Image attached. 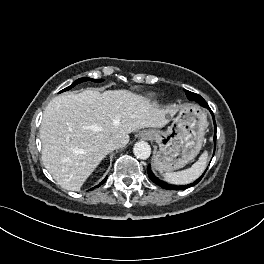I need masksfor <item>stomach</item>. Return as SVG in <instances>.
Masks as SVG:
<instances>
[{
    "label": "stomach",
    "mask_w": 264,
    "mask_h": 264,
    "mask_svg": "<svg viewBox=\"0 0 264 264\" xmlns=\"http://www.w3.org/2000/svg\"><path fill=\"white\" fill-rule=\"evenodd\" d=\"M206 127V114L195 105H185L166 131H144L159 146L154 167L169 172L192 161L201 150Z\"/></svg>",
    "instance_id": "stomach-1"
}]
</instances>
